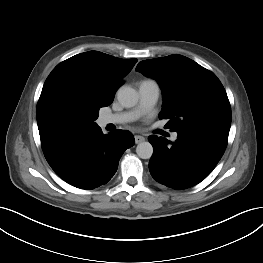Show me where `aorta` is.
Returning a JSON list of instances; mask_svg holds the SVG:
<instances>
[{
	"instance_id": "aorta-1",
	"label": "aorta",
	"mask_w": 263,
	"mask_h": 263,
	"mask_svg": "<svg viewBox=\"0 0 263 263\" xmlns=\"http://www.w3.org/2000/svg\"><path fill=\"white\" fill-rule=\"evenodd\" d=\"M117 99L123 107L130 108L137 104L138 94L133 88L124 86L117 91ZM136 153L142 159H150L153 147L149 142H141L136 147Z\"/></svg>"
}]
</instances>
